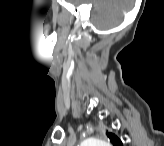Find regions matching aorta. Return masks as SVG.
<instances>
[{
	"label": "aorta",
	"instance_id": "aorta-1",
	"mask_svg": "<svg viewBox=\"0 0 164 146\" xmlns=\"http://www.w3.org/2000/svg\"><path fill=\"white\" fill-rule=\"evenodd\" d=\"M82 146H109V143L98 138H88L82 142Z\"/></svg>",
	"mask_w": 164,
	"mask_h": 146
}]
</instances>
